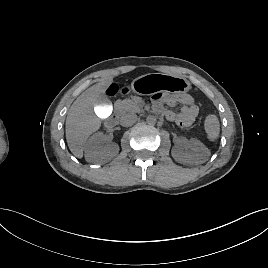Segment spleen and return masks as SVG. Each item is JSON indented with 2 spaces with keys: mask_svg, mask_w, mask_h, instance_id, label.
Returning a JSON list of instances; mask_svg holds the SVG:
<instances>
[{
  "mask_svg": "<svg viewBox=\"0 0 268 268\" xmlns=\"http://www.w3.org/2000/svg\"><path fill=\"white\" fill-rule=\"evenodd\" d=\"M204 128L207 134V138L210 141H215L220 133V123L218 117L214 114L208 115L205 118Z\"/></svg>",
  "mask_w": 268,
  "mask_h": 268,
  "instance_id": "spleen-1",
  "label": "spleen"
}]
</instances>
